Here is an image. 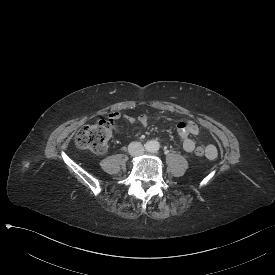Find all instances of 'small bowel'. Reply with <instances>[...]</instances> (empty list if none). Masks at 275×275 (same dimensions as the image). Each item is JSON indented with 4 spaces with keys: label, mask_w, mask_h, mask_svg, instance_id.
<instances>
[{
    "label": "small bowel",
    "mask_w": 275,
    "mask_h": 275,
    "mask_svg": "<svg viewBox=\"0 0 275 275\" xmlns=\"http://www.w3.org/2000/svg\"><path fill=\"white\" fill-rule=\"evenodd\" d=\"M117 117L119 119L127 120L128 122L134 121L133 115H130L129 113L122 112L121 110L112 111L111 114L107 116V121L109 123H114L115 120L117 119ZM139 122L141 123V126H142V124L145 125L147 122L146 116L145 115L140 116ZM199 132H200V129L195 122H193L191 120L179 122L178 134L180 137L181 145L186 152H192L195 149L196 144H195V141L192 139V136L198 135ZM206 150L207 151H211V150L216 151V148L213 145H208L206 147ZM216 156H217V151H216ZM207 157L209 159H214V158H210L209 156H207Z\"/></svg>",
    "instance_id": "small-bowel-1"
}]
</instances>
